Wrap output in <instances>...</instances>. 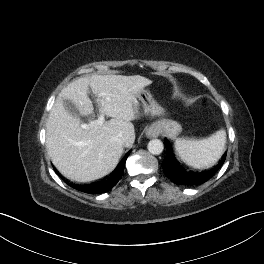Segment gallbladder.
<instances>
[{
  "mask_svg": "<svg viewBox=\"0 0 264 264\" xmlns=\"http://www.w3.org/2000/svg\"><path fill=\"white\" fill-rule=\"evenodd\" d=\"M64 106L71 115L78 117V118L80 117V113H79L77 107L71 101L64 100Z\"/></svg>",
  "mask_w": 264,
  "mask_h": 264,
  "instance_id": "obj_1",
  "label": "gallbladder"
}]
</instances>
